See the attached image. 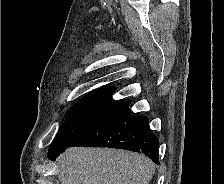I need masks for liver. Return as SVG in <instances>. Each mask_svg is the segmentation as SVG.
<instances>
[{
    "label": "liver",
    "instance_id": "obj_1",
    "mask_svg": "<svg viewBox=\"0 0 224 184\" xmlns=\"http://www.w3.org/2000/svg\"><path fill=\"white\" fill-rule=\"evenodd\" d=\"M58 167L61 184H148L155 172L146 156L108 148H69Z\"/></svg>",
    "mask_w": 224,
    "mask_h": 184
}]
</instances>
